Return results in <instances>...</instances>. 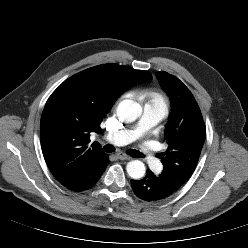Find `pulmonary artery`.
Returning <instances> with one entry per match:
<instances>
[{"instance_id":"obj_1","label":"pulmonary artery","mask_w":248,"mask_h":248,"mask_svg":"<svg viewBox=\"0 0 248 248\" xmlns=\"http://www.w3.org/2000/svg\"><path fill=\"white\" fill-rule=\"evenodd\" d=\"M167 114V110L160 106L145 105L142 116L136 126L130 129H122L105 136V139L117 146L125 145L141 138L149 129L159 123ZM143 159L153 170L159 166V158L152 151V147L145 144L140 148Z\"/></svg>"}]
</instances>
